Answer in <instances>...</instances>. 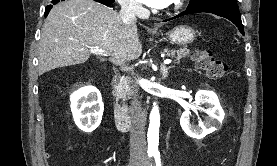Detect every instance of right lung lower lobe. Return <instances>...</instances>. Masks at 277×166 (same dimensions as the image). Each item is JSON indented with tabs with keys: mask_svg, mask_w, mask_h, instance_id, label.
Returning a JSON list of instances; mask_svg holds the SVG:
<instances>
[{
	"mask_svg": "<svg viewBox=\"0 0 277 166\" xmlns=\"http://www.w3.org/2000/svg\"><path fill=\"white\" fill-rule=\"evenodd\" d=\"M60 1H64V0H51V4L46 6V9H45V16L48 15L49 11L51 10V8L53 7V5L57 4L58 2ZM94 1H97L99 3H102V4H105V5H108V4H111L114 2V0H94Z\"/></svg>",
	"mask_w": 277,
	"mask_h": 166,
	"instance_id": "98d812e1",
	"label": "right lung lower lobe"
}]
</instances>
